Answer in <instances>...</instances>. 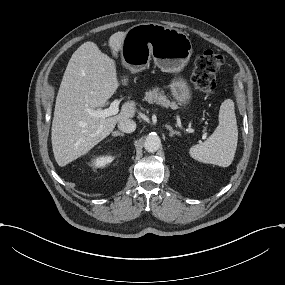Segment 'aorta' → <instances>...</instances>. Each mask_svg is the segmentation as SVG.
<instances>
[{"mask_svg": "<svg viewBox=\"0 0 285 285\" xmlns=\"http://www.w3.org/2000/svg\"><path fill=\"white\" fill-rule=\"evenodd\" d=\"M161 146V140L155 133H150L144 142L145 150L148 152H156Z\"/></svg>", "mask_w": 285, "mask_h": 285, "instance_id": "762f6f07", "label": "aorta"}]
</instances>
